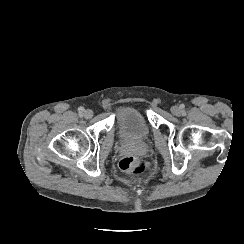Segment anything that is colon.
I'll use <instances>...</instances> for the list:
<instances>
[{"label": "colon", "mask_w": 244, "mask_h": 244, "mask_svg": "<svg viewBox=\"0 0 244 244\" xmlns=\"http://www.w3.org/2000/svg\"><path fill=\"white\" fill-rule=\"evenodd\" d=\"M119 167L124 172L141 175L147 171L148 163L140 156H125L120 160Z\"/></svg>", "instance_id": "5ec220e1"}]
</instances>
